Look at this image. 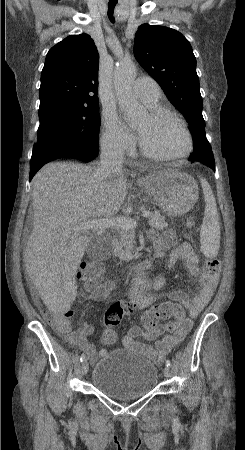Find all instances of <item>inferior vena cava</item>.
Wrapping results in <instances>:
<instances>
[{"instance_id": "obj_1", "label": "inferior vena cava", "mask_w": 245, "mask_h": 450, "mask_svg": "<svg viewBox=\"0 0 245 450\" xmlns=\"http://www.w3.org/2000/svg\"><path fill=\"white\" fill-rule=\"evenodd\" d=\"M123 150L120 146H106L102 148L100 154V165L96 174L104 179L111 174L122 170Z\"/></svg>"}]
</instances>
